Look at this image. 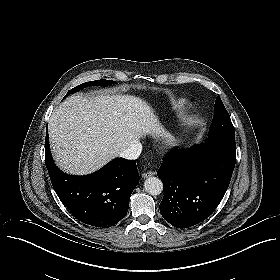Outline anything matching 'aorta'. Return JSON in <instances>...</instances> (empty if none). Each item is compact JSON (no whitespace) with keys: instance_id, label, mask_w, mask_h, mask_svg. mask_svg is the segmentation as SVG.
<instances>
[{"instance_id":"762f6f07","label":"aorta","mask_w":280,"mask_h":280,"mask_svg":"<svg viewBox=\"0 0 280 280\" xmlns=\"http://www.w3.org/2000/svg\"><path fill=\"white\" fill-rule=\"evenodd\" d=\"M144 189L148 194L157 196L163 191V183L157 177H149L144 182Z\"/></svg>"}]
</instances>
